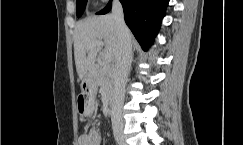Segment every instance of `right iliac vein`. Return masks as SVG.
Returning <instances> with one entry per match:
<instances>
[{
    "label": "right iliac vein",
    "mask_w": 243,
    "mask_h": 145,
    "mask_svg": "<svg viewBox=\"0 0 243 145\" xmlns=\"http://www.w3.org/2000/svg\"><path fill=\"white\" fill-rule=\"evenodd\" d=\"M115 138L119 145H127L126 138L123 134H117Z\"/></svg>",
    "instance_id": "63e3f726"
}]
</instances>
